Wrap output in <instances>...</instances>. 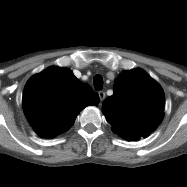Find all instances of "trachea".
I'll use <instances>...</instances> for the list:
<instances>
[{
	"label": "trachea",
	"mask_w": 187,
	"mask_h": 187,
	"mask_svg": "<svg viewBox=\"0 0 187 187\" xmlns=\"http://www.w3.org/2000/svg\"><path fill=\"white\" fill-rule=\"evenodd\" d=\"M93 82H94L95 90H102V88H103V78H102L101 75L94 76Z\"/></svg>",
	"instance_id": "trachea-1"
}]
</instances>
